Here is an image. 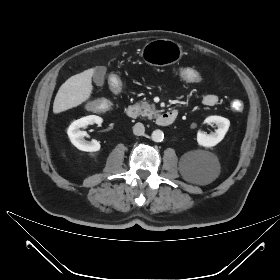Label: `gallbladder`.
Instances as JSON below:
<instances>
[{"label":"gallbladder","instance_id":"obj_1","mask_svg":"<svg viewBox=\"0 0 280 280\" xmlns=\"http://www.w3.org/2000/svg\"><path fill=\"white\" fill-rule=\"evenodd\" d=\"M106 71H107V69L104 66L97 67L94 70L93 81H94V83L97 86H103L104 80H105Z\"/></svg>","mask_w":280,"mask_h":280}]
</instances>
